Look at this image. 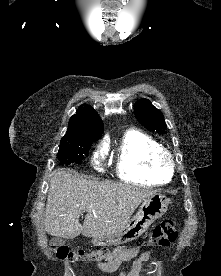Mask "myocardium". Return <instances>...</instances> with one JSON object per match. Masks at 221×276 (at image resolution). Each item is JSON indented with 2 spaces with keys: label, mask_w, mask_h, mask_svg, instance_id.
Listing matches in <instances>:
<instances>
[{
  "label": "myocardium",
  "mask_w": 221,
  "mask_h": 276,
  "mask_svg": "<svg viewBox=\"0 0 221 276\" xmlns=\"http://www.w3.org/2000/svg\"><path fill=\"white\" fill-rule=\"evenodd\" d=\"M155 163L156 165L166 171L172 172L174 169L176 163L174 159V155L171 153V151L161 148L156 154H155Z\"/></svg>",
  "instance_id": "myocardium-1"
}]
</instances>
